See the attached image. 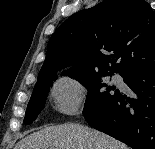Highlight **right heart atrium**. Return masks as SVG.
Instances as JSON below:
<instances>
[{"label":"right heart atrium","instance_id":"obj_1","mask_svg":"<svg viewBox=\"0 0 155 149\" xmlns=\"http://www.w3.org/2000/svg\"><path fill=\"white\" fill-rule=\"evenodd\" d=\"M87 89L84 83L75 77L58 79L51 90L55 109L64 115H74L81 109Z\"/></svg>","mask_w":155,"mask_h":149}]
</instances>
